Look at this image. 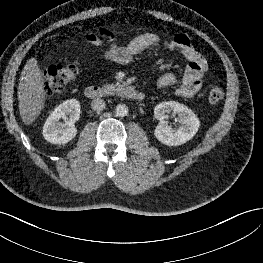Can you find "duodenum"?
Listing matches in <instances>:
<instances>
[{"label":"duodenum","mask_w":263,"mask_h":263,"mask_svg":"<svg viewBox=\"0 0 263 263\" xmlns=\"http://www.w3.org/2000/svg\"><path fill=\"white\" fill-rule=\"evenodd\" d=\"M119 93L125 98L142 101L144 99V94L130 86H124L120 89ZM107 94L105 89L97 85L87 86L84 90V95L88 99H97L104 97Z\"/></svg>","instance_id":"410a0bca"}]
</instances>
